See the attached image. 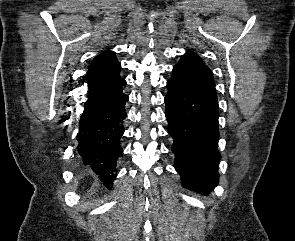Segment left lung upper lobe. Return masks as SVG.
<instances>
[{
  "label": "left lung upper lobe",
  "mask_w": 295,
  "mask_h": 241,
  "mask_svg": "<svg viewBox=\"0 0 295 241\" xmlns=\"http://www.w3.org/2000/svg\"><path fill=\"white\" fill-rule=\"evenodd\" d=\"M173 72L198 92L217 99L213 74L198 55L187 52Z\"/></svg>",
  "instance_id": "1"
}]
</instances>
